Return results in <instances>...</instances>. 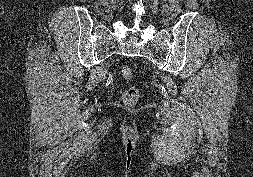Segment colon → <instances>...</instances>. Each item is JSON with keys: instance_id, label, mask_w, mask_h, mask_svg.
Segmentation results:
<instances>
[{"instance_id": "colon-1", "label": "colon", "mask_w": 253, "mask_h": 177, "mask_svg": "<svg viewBox=\"0 0 253 177\" xmlns=\"http://www.w3.org/2000/svg\"><path fill=\"white\" fill-rule=\"evenodd\" d=\"M121 75L126 81H132L134 77L133 71L129 66L121 67ZM139 95V88L135 85H131L123 91L122 98L126 104L134 105L137 102Z\"/></svg>"}]
</instances>
